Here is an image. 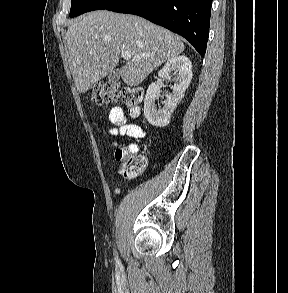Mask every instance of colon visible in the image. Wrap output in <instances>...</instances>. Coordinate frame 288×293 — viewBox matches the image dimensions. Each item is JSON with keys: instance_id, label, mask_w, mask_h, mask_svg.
<instances>
[{"instance_id": "obj_1", "label": "colon", "mask_w": 288, "mask_h": 293, "mask_svg": "<svg viewBox=\"0 0 288 293\" xmlns=\"http://www.w3.org/2000/svg\"><path fill=\"white\" fill-rule=\"evenodd\" d=\"M92 99L97 104L113 103L120 101L132 116H137L143 101L144 92L139 87H123L116 85L97 83L91 90ZM115 158L121 162L120 173L125 176L139 174L145 165V159L141 155H134L129 148L119 147L115 151Z\"/></svg>"}]
</instances>
